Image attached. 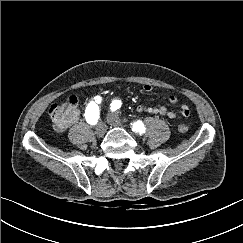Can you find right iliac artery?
<instances>
[{
    "label": "right iliac artery",
    "mask_w": 243,
    "mask_h": 243,
    "mask_svg": "<svg viewBox=\"0 0 243 243\" xmlns=\"http://www.w3.org/2000/svg\"><path fill=\"white\" fill-rule=\"evenodd\" d=\"M95 102L100 103L101 102V97L96 96L95 97ZM94 101H91L88 106L86 107L85 110V118L87 122L91 125H95L99 119V107Z\"/></svg>",
    "instance_id": "82829eb1"
}]
</instances>
